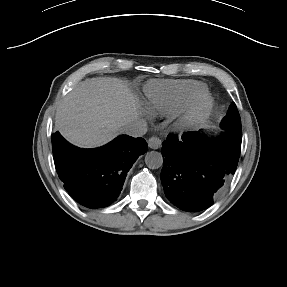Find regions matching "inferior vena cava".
I'll return each instance as SVG.
<instances>
[{"label": "inferior vena cava", "mask_w": 287, "mask_h": 287, "mask_svg": "<svg viewBox=\"0 0 287 287\" xmlns=\"http://www.w3.org/2000/svg\"><path fill=\"white\" fill-rule=\"evenodd\" d=\"M148 131L147 122L144 119H134L122 127V132L131 137H141Z\"/></svg>", "instance_id": "obj_1"}]
</instances>
